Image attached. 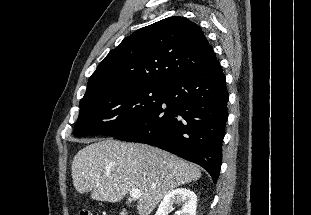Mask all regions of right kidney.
Masks as SVG:
<instances>
[{
    "instance_id": "obj_1",
    "label": "right kidney",
    "mask_w": 311,
    "mask_h": 215,
    "mask_svg": "<svg viewBox=\"0 0 311 215\" xmlns=\"http://www.w3.org/2000/svg\"><path fill=\"white\" fill-rule=\"evenodd\" d=\"M174 204H181L178 215H196L197 196L187 188L171 190L160 203L155 215H168Z\"/></svg>"
}]
</instances>
